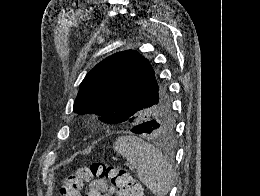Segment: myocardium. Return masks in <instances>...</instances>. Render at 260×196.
Listing matches in <instances>:
<instances>
[{
	"label": "myocardium",
	"mask_w": 260,
	"mask_h": 196,
	"mask_svg": "<svg viewBox=\"0 0 260 196\" xmlns=\"http://www.w3.org/2000/svg\"><path fill=\"white\" fill-rule=\"evenodd\" d=\"M91 121L94 128L98 127L100 124L98 118L94 115L91 116Z\"/></svg>",
	"instance_id": "obj_1"
}]
</instances>
